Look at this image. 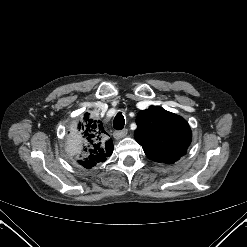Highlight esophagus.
Returning <instances> with one entry per match:
<instances>
[{
  "instance_id": "34e87169",
  "label": "esophagus",
  "mask_w": 247,
  "mask_h": 247,
  "mask_svg": "<svg viewBox=\"0 0 247 247\" xmlns=\"http://www.w3.org/2000/svg\"><path fill=\"white\" fill-rule=\"evenodd\" d=\"M127 133H128V130L127 129H123L121 131H116L114 133V135H115L116 138L120 139V138H124L127 135Z\"/></svg>"
}]
</instances>
